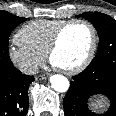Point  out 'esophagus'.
<instances>
[{"label": "esophagus", "instance_id": "1", "mask_svg": "<svg viewBox=\"0 0 116 116\" xmlns=\"http://www.w3.org/2000/svg\"><path fill=\"white\" fill-rule=\"evenodd\" d=\"M49 77V74H42V75H38L36 76V80H44L47 79Z\"/></svg>", "mask_w": 116, "mask_h": 116}]
</instances>
